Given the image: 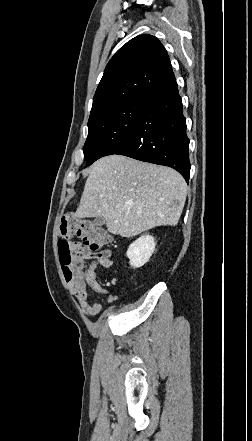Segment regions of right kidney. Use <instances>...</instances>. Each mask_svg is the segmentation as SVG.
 Listing matches in <instances>:
<instances>
[{
	"label": "right kidney",
	"mask_w": 252,
	"mask_h": 441,
	"mask_svg": "<svg viewBox=\"0 0 252 441\" xmlns=\"http://www.w3.org/2000/svg\"><path fill=\"white\" fill-rule=\"evenodd\" d=\"M155 239L151 235H142L127 250V257L133 268L146 264L155 250Z\"/></svg>",
	"instance_id": "ca27d5eb"
}]
</instances>
